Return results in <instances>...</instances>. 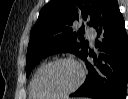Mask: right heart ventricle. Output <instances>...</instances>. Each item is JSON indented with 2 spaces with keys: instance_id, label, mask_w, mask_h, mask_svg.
Instances as JSON below:
<instances>
[{
  "instance_id": "right-heart-ventricle-1",
  "label": "right heart ventricle",
  "mask_w": 128,
  "mask_h": 99,
  "mask_svg": "<svg viewBox=\"0 0 128 99\" xmlns=\"http://www.w3.org/2000/svg\"><path fill=\"white\" fill-rule=\"evenodd\" d=\"M29 97H30L31 99H37V98H39V97L36 96V95L34 94V92L32 91L31 83H30V88H29Z\"/></svg>"
}]
</instances>
